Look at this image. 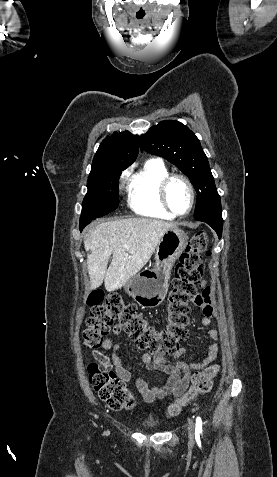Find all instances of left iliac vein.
Returning a JSON list of instances; mask_svg holds the SVG:
<instances>
[{"label":"left iliac vein","instance_id":"1","mask_svg":"<svg viewBox=\"0 0 277 477\" xmlns=\"http://www.w3.org/2000/svg\"><path fill=\"white\" fill-rule=\"evenodd\" d=\"M188 435H189V440L191 442H194V438H195V425H194V421L193 420H189V423H188Z\"/></svg>","mask_w":277,"mask_h":477}]
</instances>
